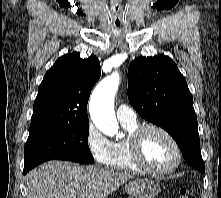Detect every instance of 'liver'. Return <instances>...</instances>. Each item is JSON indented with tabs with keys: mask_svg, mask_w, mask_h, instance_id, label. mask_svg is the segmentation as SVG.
Wrapping results in <instances>:
<instances>
[{
	"mask_svg": "<svg viewBox=\"0 0 221 198\" xmlns=\"http://www.w3.org/2000/svg\"><path fill=\"white\" fill-rule=\"evenodd\" d=\"M133 178L128 173L51 160L26 175L27 198H107Z\"/></svg>",
	"mask_w": 221,
	"mask_h": 198,
	"instance_id": "liver-1",
	"label": "liver"
}]
</instances>
